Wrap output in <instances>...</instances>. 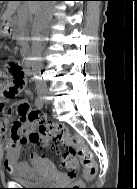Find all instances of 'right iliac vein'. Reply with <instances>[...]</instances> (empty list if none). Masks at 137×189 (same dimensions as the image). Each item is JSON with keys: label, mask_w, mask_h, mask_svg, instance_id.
<instances>
[{"label": "right iliac vein", "mask_w": 137, "mask_h": 189, "mask_svg": "<svg viewBox=\"0 0 137 189\" xmlns=\"http://www.w3.org/2000/svg\"><path fill=\"white\" fill-rule=\"evenodd\" d=\"M39 95H40V98H41V99L49 100L48 90H47V89L41 90V91L39 92Z\"/></svg>", "instance_id": "63e3f726"}]
</instances>
